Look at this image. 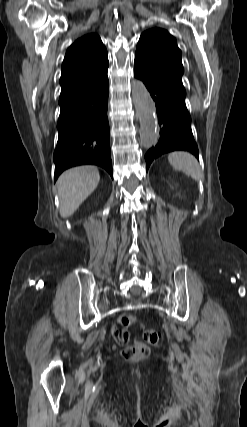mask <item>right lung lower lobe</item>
Wrapping results in <instances>:
<instances>
[{"label":"right lung lower lobe","mask_w":247,"mask_h":427,"mask_svg":"<svg viewBox=\"0 0 247 427\" xmlns=\"http://www.w3.org/2000/svg\"><path fill=\"white\" fill-rule=\"evenodd\" d=\"M107 104V74L60 94L55 180L64 170L84 164L99 165L113 177Z\"/></svg>","instance_id":"1"}]
</instances>
